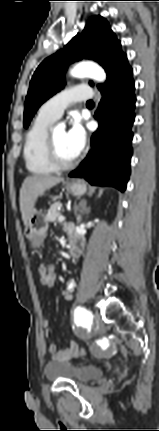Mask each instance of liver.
Listing matches in <instances>:
<instances>
[{
	"instance_id": "1",
	"label": "liver",
	"mask_w": 159,
	"mask_h": 431,
	"mask_svg": "<svg viewBox=\"0 0 159 431\" xmlns=\"http://www.w3.org/2000/svg\"><path fill=\"white\" fill-rule=\"evenodd\" d=\"M63 181L64 179L61 177L50 175H33L24 180L20 189L19 201L22 220L25 226L28 224L34 211L35 201L38 196Z\"/></svg>"
}]
</instances>
